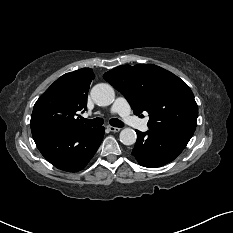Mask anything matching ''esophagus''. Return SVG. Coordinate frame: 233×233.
<instances>
[{
    "label": "esophagus",
    "instance_id": "obj_1",
    "mask_svg": "<svg viewBox=\"0 0 233 233\" xmlns=\"http://www.w3.org/2000/svg\"><path fill=\"white\" fill-rule=\"evenodd\" d=\"M107 129L110 131V132H119L120 131V128L118 127H113V126H107Z\"/></svg>",
    "mask_w": 233,
    "mask_h": 233
}]
</instances>
